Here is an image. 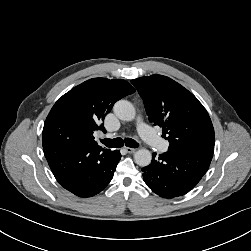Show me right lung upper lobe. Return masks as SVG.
I'll return each mask as SVG.
<instances>
[{"label": "right lung upper lobe", "mask_w": 251, "mask_h": 251, "mask_svg": "<svg viewBox=\"0 0 251 251\" xmlns=\"http://www.w3.org/2000/svg\"><path fill=\"white\" fill-rule=\"evenodd\" d=\"M134 92L135 89L127 81L106 78H93L72 88L58 99L46 118L42 133L43 148H48L43 138L46 126L54 120L66 121L75 127L80 135V147H99L93 133L97 130L105 132L102 122L114 103Z\"/></svg>", "instance_id": "obj_1"}]
</instances>
